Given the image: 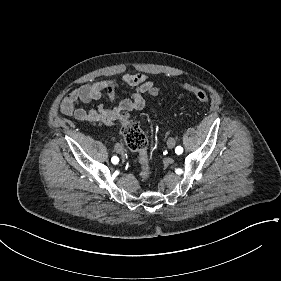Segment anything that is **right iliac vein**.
I'll use <instances>...</instances> for the list:
<instances>
[{"label":"right iliac vein","instance_id":"63e3f726","mask_svg":"<svg viewBox=\"0 0 281 281\" xmlns=\"http://www.w3.org/2000/svg\"><path fill=\"white\" fill-rule=\"evenodd\" d=\"M115 150H116V152H118V153H123V147H122V145L119 144V143H116V144H115Z\"/></svg>","mask_w":281,"mask_h":281}]
</instances>
